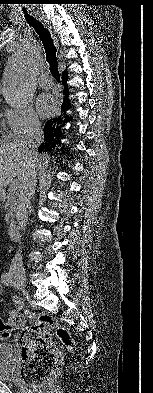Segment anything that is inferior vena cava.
<instances>
[{"instance_id":"obj_1","label":"inferior vena cava","mask_w":153,"mask_h":393,"mask_svg":"<svg viewBox=\"0 0 153 393\" xmlns=\"http://www.w3.org/2000/svg\"><path fill=\"white\" fill-rule=\"evenodd\" d=\"M44 141V133L41 124L33 121L27 131L25 137V145L31 152H36L37 147ZM37 184V168H35L29 177L22 183L21 191L18 195L16 205V218L19 228L22 232L26 229L28 221V204L33 194L35 193ZM20 251V249H19ZM19 251L15 254L11 261L10 272L14 275H24L25 270L23 266L22 256Z\"/></svg>"}]
</instances>
